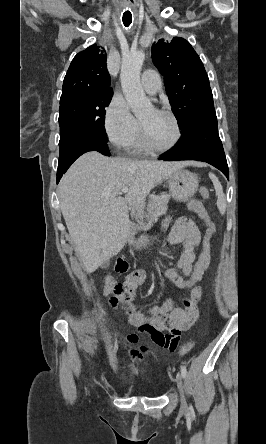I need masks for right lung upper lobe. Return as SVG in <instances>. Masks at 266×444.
Wrapping results in <instances>:
<instances>
[{
  "instance_id": "obj_1",
  "label": "right lung upper lobe",
  "mask_w": 266,
  "mask_h": 444,
  "mask_svg": "<svg viewBox=\"0 0 266 444\" xmlns=\"http://www.w3.org/2000/svg\"><path fill=\"white\" fill-rule=\"evenodd\" d=\"M104 51L96 44L78 53L64 78L60 101L96 92L112 91Z\"/></svg>"
}]
</instances>
